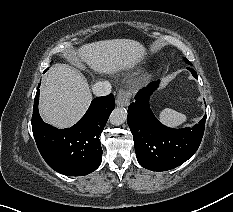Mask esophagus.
<instances>
[{
    "instance_id": "obj_1",
    "label": "esophagus",
    "mask_w": 233,
    "mask_h": 212,
    "mask_svg": "<svg viewBox=\"0 0 233 212\" xmlns=\"http://www.w3.org/2000/svg\"><path fill=\"white\" fill-rule=\"evenodd\" d=\"M130 99L131 93L124 89H120L117 94L116 105L118 107H127L130 103Z\"/></svg>"
}]
</instances>
